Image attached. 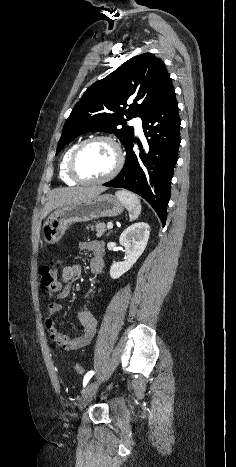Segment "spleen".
I'll use <instances>...</instances> for the list:
<instances>
[{"label":"spleen","instance_id":"spleen-1","mask_svg":"<svg viewBox=\"0 0 236 467\" xmlns=\"http://www.w3.org/2000/svg\"><path fill=\"white\" fill-rule=\"evenodd\" d=\"M116 197L124 204L129 212L131 221L137 219L141 213V203L139 198L126 190H120L115 193Z\"/></svg>","mask_w":236,"mask_h":467}]
</instances>
